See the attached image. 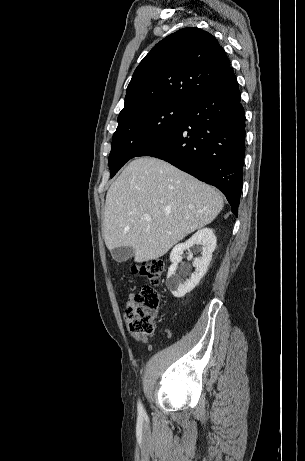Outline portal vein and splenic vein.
I'll return each mask as SVG.
<instances>
[{
    "mask_svg": "<svg viewBox=\"0 0 305 461\" xmlns=\"http://www.w3.org/2000/svg\"><path fill=\"white\" fill-rule=\"evenodd\" d=\"M144 218H145V220H147V221H151V217H150L148 214H145V215H144Z\"/></svg>",
    "mask_w": 305,
    "mask_h": 461,
    "instance_id": "portal-vein-and-splenic-vein-1",
    "label": "portal vein and splenic vein"
}]
</instances>
